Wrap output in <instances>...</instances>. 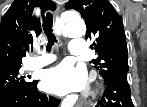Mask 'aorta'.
<instances>
[{
	"label": "aorta",
	"mask_w": 147,
	"mask_h": 107,
	"mask_svg": "<svg viewBox=\"0 0 147 107\" xmlns=\"http://www.w3.org/2000/svg\"><path fill=\"white\" fill-rule=\"evenodd\" d=\"M61 32L66 37H82L86 33V26L78 17H69L62 22Z\"/></svg>",
	"instance_id": "obj_1"
}]
</instances>
